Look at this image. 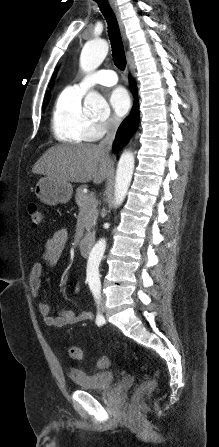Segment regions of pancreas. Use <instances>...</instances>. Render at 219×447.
Masks as SVG:
<instances>
[{"label": "pancreas", "mask_w": 219, "mask_h": 447, "mask_svg": "<svg viewBox=\"0 0 219 447\" xmlns=\"http://www.w3.org/2000/svg\"><path fill=\"white\" fill-rule=\"evenodd\" d=\"M85 186H81L77 188L75 200L76 204L80 209H86L87 211V219L85 221L84 227L87 231H89L96 223L98 217L97 211V203L95 197L92 194H86L83 192V188Z\"/></svg>", "instance_id": "1"}]
</instances>
